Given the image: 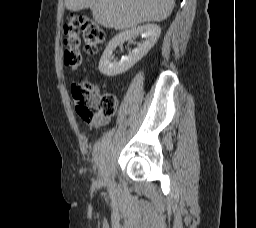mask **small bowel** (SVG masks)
Listing matches in <instances>:
<instances>
[{
    "label": "small bowel",
    "instance_id": "small-bowel-1",
    "mask_svg": "<svg viewBox=\"0 0 256 228\" xmlns=\"http://www.w3.org/2000/svg\"><path fill=\"white\" fill-rule=\"evenodd\" d=\"M106 122V119L105 118H102V119H98L95 121V125H101L102 123Z\"/></svg>",
    "mask_w": 256,
    "mask_h": 228
}]
</instances>
